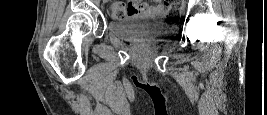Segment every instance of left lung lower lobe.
<instances>
[{"instance_id":"1","label":"left lung lower lobe","mask_w":267,"mask_h":115,"mask_svg":"<svg viewBox=\"0 0 267 115\" xmlns=\"http://www.w3.org/2000/svg\"><path fill=\"white\" fill-rule=\"evenodd\" d=\"M137 87H142V88H143V86H140V85H137ZM152 89H154V90H156V91H159L158 88H152Z\"/></svg>"}]
</instances>
